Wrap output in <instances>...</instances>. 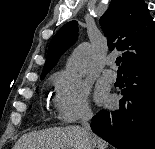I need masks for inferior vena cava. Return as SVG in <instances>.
<instances>
[{
  "label": "inferior vena cava",
  "mask_w": 155,
  "mask_h": 149,
  "mask_svg": "<svg viewBox=\"0 0 155 149\" xmlns=\"http://www.w3.org/2000/svg\"><path fill=\"white\" fill-rule=\"evenodd\" d=\"M92 118V113H84L82 116V127L83 129L86 131L88 138H89V142H90V149H94L96 147V140L91 132V128L89 125V120Z\"/></svg>",
  "instance_id": "602c4592"
}]
</instances>
